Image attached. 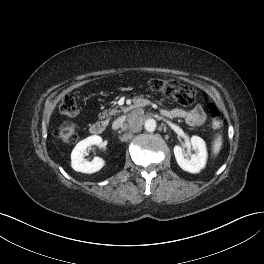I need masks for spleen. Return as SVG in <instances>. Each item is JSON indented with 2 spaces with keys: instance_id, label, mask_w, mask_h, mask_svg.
<instances>
[{
  "instance_id": "3e777b00",
  "label": "spleen",
  "mask_w": 264,
  "mask_h": 264,
  "mask_svg": "<svg viewBox=\"0 0 264 264\" xmlns=\"http://www.w3.org/2000/svg\"><path fill=\"white\" fill-rule=\"evenodd\" d=\"M221 147H222V137L218 136L215 139L214 143H213V153H214V155H217L220 152Z\"/></svg>"
}]
</instances>
